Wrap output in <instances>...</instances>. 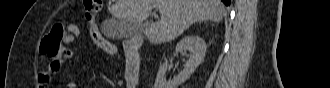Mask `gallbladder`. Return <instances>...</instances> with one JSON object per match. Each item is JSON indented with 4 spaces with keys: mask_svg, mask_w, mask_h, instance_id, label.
Masks as SVG:
<instances>
[{
    "mask_svg": "<svg viewBox=\"0 0 330 88\" xmlns=\"http://www.w3.org/2000/svg\"><path fill=\"white\" fill-rule=\"evenodd\" d=\"M104 34L112 39H126L139 35L142 32L140 24L122 22L115 20L109 24L104 25Z\"/></svg>",
    "mask_w": 330,
    "mask_h": 88,
    "instance_id": "gallbladder-1",
    "label": "gallbladder"
}]
</instances>
